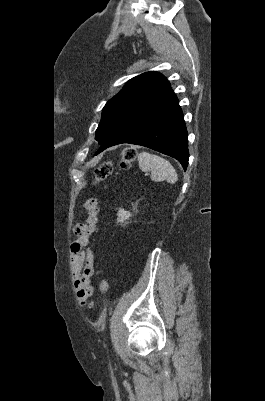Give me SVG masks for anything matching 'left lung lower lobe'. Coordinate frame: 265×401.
<instances>
[{
	"instance_id": "left-lung-lower-lobe-1",
	"label": "left lung lower lobe",
	"mask_w": 265,
	"mask_h": 401,
	"mask_svg": "<svg viewBox=\"0 0 265 401\" xmlns=\"http://www.w3.org/2000/svg\"><path fill=\"white\" fill-rule=\"evenodd\" d=\"M187 135L179 101L169 88L132 115L102 143L96 155L108 147L130 143L169 155L186 170L189 158Z\"/></svg>"
}]
</instances>
